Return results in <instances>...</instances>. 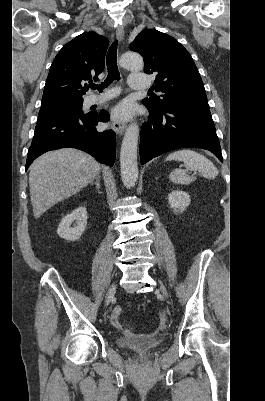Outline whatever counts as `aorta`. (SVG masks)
Masks as SVG:
<instances>
[{
    "label": "aorta",
    "instance_id": "762f6f07",
    "mask_svg": "<svg viewBox=\"0 0 265 401\" xmlns=\"http://www.w3.org/2000/svg\"><path fill=\"white\" fill-rule=\"evenodd\" d=\"M121 62L125 68L131 70H141L144 66L143 58L136 52H125L121 56ZM139 136V126L132 122L126 128L120 150L121 178L126 188L135 186L138 178L137 166V144Z\"/></svg>",
    "mask_w": 265,
    "mask_h": 401
}]
</instances>
